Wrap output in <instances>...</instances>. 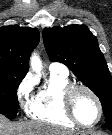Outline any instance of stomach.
<instances>
[{
    "mask_svg": "<svg viewBox=\"0 0 112 135\" xmlns=\"http://www.w3.org/2000/svg\"><path fill=\"white\" fill-rule=\"evenodd\" d=\"M77 135H97L95 133H80V134H77Z\"/></svg>",
    "mask_w": 112,
    "mask_h": 135,
    "instance_id": "stomach-1",
    "label": "stomach"
}]
</instances>
